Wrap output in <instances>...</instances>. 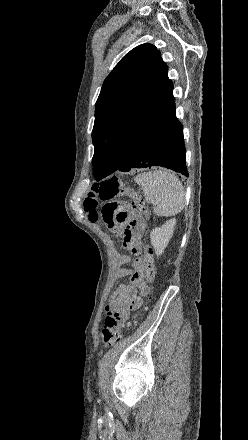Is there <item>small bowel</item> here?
Here are the masks:
<instances>
[{
  "mask_svg": "<svg viewBox=\"0 0 248 440\" xmlns=\"http://www.w3.org/2000/svg\"><path fill=\"white\" fill-rule=\"evenodd\" d=\"M123 207L129 210L127 204H123ZM115 231L123 232L124 247H126L135 256L134 265L132 269H122L120 273L122 275H131L130 286L120 285L112 294L110 298V309L119 312L123 317H126L129 309L135 308L140 304L139 298L134 293V286L140 287L144 292L147 291V287L143 281L142 276V261L140 258V240L145 231V224L140 221L132 222L128 224V228L120 229L118 226L112 228ZM130 261V257L127 255H118L117 263L119 265L126 264Z\"/></svg>",
  "mask_w": 248,
  "mask_h": 440,
  "instance_id": "small-bowel-1",
  "label": "small bowel"
}]
</instances>
